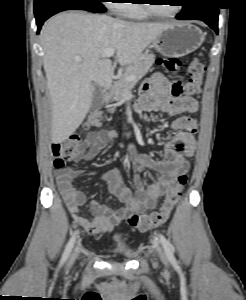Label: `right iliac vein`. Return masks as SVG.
Returning a JSON list of instances; mask_svg holds the SVG:
<instances>
[{"label":"right iliac vein","instance_id":"1","mask_svg":"<svg viewBox=\"0 0 246 300\" xmlns=\"http://www.w3.org/2000/svg\"><path fill=\"white\" fill-rule=\"evenodd\" d=\"M78 249L76 248L73 252V254L71 255L70 261H69V265H72L74 263V261L76 260L77 256H78Z\"/></svg>","mask_w":246,"mask_h":300}]
</instances>
